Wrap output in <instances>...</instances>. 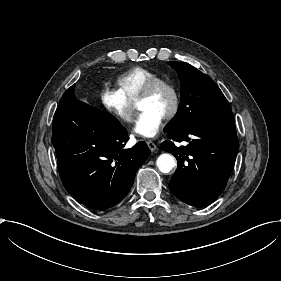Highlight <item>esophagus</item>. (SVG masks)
<instances>
[{
    "mask_svg": "<svg viewBox=\"0 0 281 281\" xmlns=\"http://www.w3.org/2000/svg\"><path fill=\"white\" fill-rule=\"evenodd\" d=\"M146 144L148 145L149 149L153 152L157 149V146L154 142L152 141H146Z\"/></svg>",
    "mask_w": 281,
    "mask_h": 281,
    "instance_id": "obj_1",
    "label": "esophagus"
}]
</instances>
